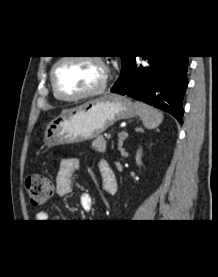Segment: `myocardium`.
<instances>
[{
	"label": "myocardium",
	"instance_id": "obj_1",
	"mask_svg": "<svg viewBox=\"0 0 218 277\" xmlns=\"http://www.w3.org/2000/svg\"><path fill=\"white\" fill-rule=\"evenodd\" d=\"M70 59H82V60H88L91 62H94L96 65H98L101 70H102V79L99 85L89 91H86L84 93H81L76 96H66L61 93L57 86L56 82V69L57 67L63 63L64 61L70 60ZM109 76H110V69L108 65L104 62V60L96 55H64L60 57L52 66L51 71H50V81H51V86L53 89L54 94L61 100L72 102V101H78L90 97H94L96 95H99L105 91L107 88V84L109 81Z\"/></svg>",
	"mask_w": 218,
	"mask_h": 277
}]
</instances>
